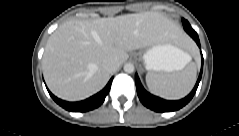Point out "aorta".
<instances>
[{
    "label": "aorta",
    "mask_w": 239,
    "mask_h": 136,
    "mask_svg": "<svg viewBox=\"0 0 239 136\" xmlns=\"http://www.w3.org/2000/svg\"><path fill=\"white\" fill-rule=\"evenodd\" d=\"M124 71H125L126 73H132V72H134V65H133L132 63H126V64L124 65Z\"/></svg>",
    "instance_id": "762f6f07"
}]
</instances>
